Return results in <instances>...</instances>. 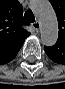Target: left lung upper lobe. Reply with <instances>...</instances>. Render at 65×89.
<instances>
[{"label":"left lung upper lobe","mask_w":65,"mask_h":89,"mask_svg":"<svg viewBox=\"0 0 65 89\" xmlns=\"http://www.w3.org/2000/svg\"><path fill=\"white\" fill-rule=\"evenodd\" d=\"M52 4L59 26L58 40L65 41V0H49Z\"/></svg>","instance_id":"5c2ea615"}]
</instances>
